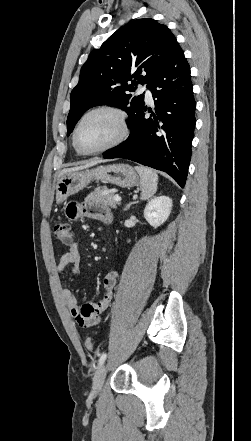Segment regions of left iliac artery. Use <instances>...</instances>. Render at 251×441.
Returning a JSON list of instances; mask_svg holds the SVG:
<instances>
[{
  "instance_id": "44dca946",
  "label": "left iliac artery",
  "mask_w": 251,
  "mask_h": 441,
  "mask_svg": "<svg viewBox=\"0 0 251 441\" xmlns=\"http://www.w3.org/2000/svg\"><path fill=\"white\" fill-rule=\"evenodd\" d=\"M106 357H107V354H106V353H103V354L101 355V357L99 358V361H98V365H99V366H101V365L104 363V361L106 360Z\"/></svg>"
}]
</instances>
